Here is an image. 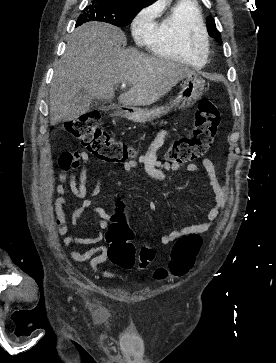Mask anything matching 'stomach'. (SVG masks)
Masks as SVG:
<instances>
[{"mask_svg":"<svg viewBox=\"0 0 276 363\" xmlns=\"http://www.w3.org/2000/svg\"><path fill=\"white\" fill-rule=\"evenodd\" d=\"M205 81L198 75H190L181 85V91L170 106L154 109L128 108L123 116L133 122H146L156 117L167 114L172 107L186 109L194 105L203 95Z\"/></svg>","mask_w":276,"mask_h":363,"instance_id":"stomach-1","label":"stomach"}]
</instances>
